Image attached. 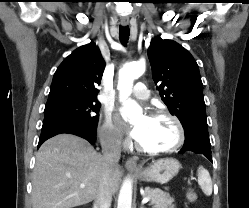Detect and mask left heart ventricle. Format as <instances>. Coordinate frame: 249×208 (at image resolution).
<instances>
[{"label": "left heart ventricle", "mask_w": 249, "mask_h": 208, "mask_svg": "<svg viewBox=\"0 0 249 208\" xmlns=\"http://www.w3.org/2000/svg\"><path fill=\"white\" fill-rule=\"evenodd\" d=\"M144 132L138 143L148 149H162L174 145L178 139L177 127L166 117H141Z\"/></svg>", "instance_id": "1"}]
</instances>
